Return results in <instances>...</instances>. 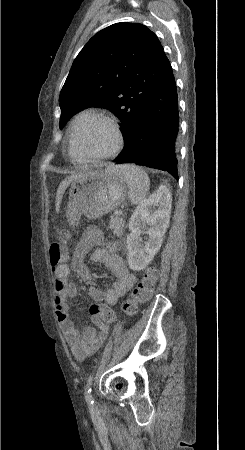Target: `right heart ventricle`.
Returning a JSON list of instances; mask_svg holds the SVG:
<instances>
[{
	"label": "right heart ventricle",
	"instance_id": "e07e8e85",
	"mask_svg": "<svg viewBox=\"0 0 245 450\" xmlns=\"http://www.w3.org/2000/svg\"><path fill=\"white\" fill-rule=\"evenodd\" d=\"M96 114L94 111L91 110H85L83 112H81L80 114L77 115V117L75 119H86L89 118L90 116ZM69 154L71 156V158L75 161H81L82 159H79L78 157H76V155L71 151L70 149V145H69Z\"/></svg>",
	"mask_w": 245,
	"mask_h": 450
}]
</instances>
